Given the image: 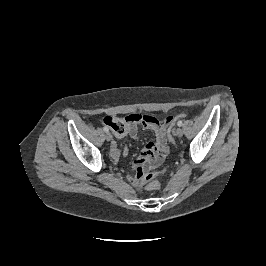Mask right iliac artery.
<instances>
[{
	"instance_id": "82829eb1",
	"label": "right iliac artery",
	"mask_w": 266,
	"mask_h": 266,
	"mask_svg": "<svg viewBox=\"0 0 266 266\" xmlns=\"http://www.w3.org/2000/svg\"><path fill=\"white\" fill-rule=\"evenodd\" d=\"M103 130H104L105 132H108V131H109V129H108L107 127H103Z\"/></svg>"
}]
</instances>
